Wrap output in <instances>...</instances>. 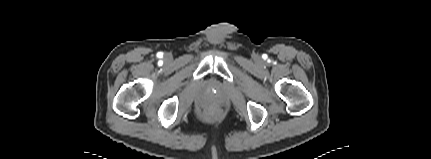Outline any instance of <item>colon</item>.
<instances>
[{
    "instance_id": "obj_1",
    "label": "colon",
    "mask_w": 431,
    "mask_h": 159,
    "mask_svg": "<svg viewBox=\"0 0 431 159\" xmlns=\"http://www.w3.org/2000/svg\"><path fill=\"white\" fill-rule=\"evenodd\" d=\"M207 115H208L209 118H216L217 117V112L214 111V110H210V111H208Z\"/></svg>"
}]
</instances>
